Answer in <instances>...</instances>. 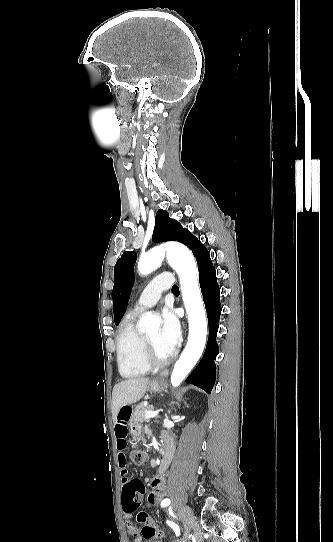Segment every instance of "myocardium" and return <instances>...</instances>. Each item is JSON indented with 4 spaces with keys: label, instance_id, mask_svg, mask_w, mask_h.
Listing matches in <instances>:
<instances>
[{
    "label": "myocardium",
    "instance_id": "obj_1",
    "mask_svg": "<svg viewBox=\"0 0 333 542\" xmlns=\"http://www.w3.org/2000/svg\"><path fill=\"white\" fill-rule=\"evenodd\" d=\"M141 357L143 362L149 368H161L170 364L176 357V352L172 353L165 359L158 358L153 350V347L146 336L142 337L141 342Z\"/></svg>",
    "mask_w": 333,
    "mask_h": 542
}]
</instances>
